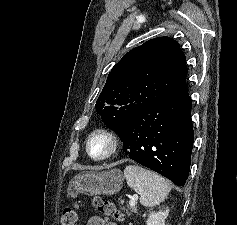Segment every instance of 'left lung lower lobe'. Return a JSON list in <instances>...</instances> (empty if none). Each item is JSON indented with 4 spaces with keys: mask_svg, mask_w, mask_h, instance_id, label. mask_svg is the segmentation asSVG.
I'll use <instances>...</instances> for the list:
<instances>
[{
    "mask_svg": "<svg viewBox=\"0 0 237 225\" xmlns=\"http://www.w3.org/2000/svg\"><path fill=\"white\" fill-rule=\"evenodd\" d=\"M119 137L129 158L184 186L194 142L187 90L140 112Z\"/></svg>",
    "mask_w": 237,
    "mask_h": 225,
    "instance_id": "left-lung-lower-lobe-1",
    "label": "left lung lower lobe"
}]
</instances>
